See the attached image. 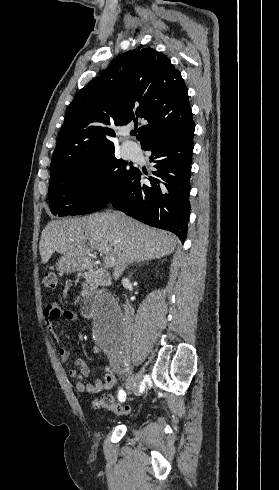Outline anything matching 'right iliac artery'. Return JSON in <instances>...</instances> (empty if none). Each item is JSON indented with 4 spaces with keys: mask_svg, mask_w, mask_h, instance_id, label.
Listing matches in <instances>:
<instances>
[{
    "mask_svg": "<svg viewBox=\"0 0 279 490\" xmlns=\"http://www.w3.org/2000/svg\"><path fill=\"white\" fill-rule=\"evenodd\" d=\"M126 393L121 389L118 393V399L122 402L125 401Z\"/></svg>",
    "mask_w": 279,
    "mask_h": 490,
    "instance_id": "obj_1",
    "label": "right iliac artery"
}]
</instances>
